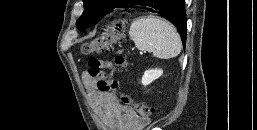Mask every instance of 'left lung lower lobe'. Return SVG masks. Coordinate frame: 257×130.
Here are the masks:
<instances>
[{
  "instance_id": "obj_1",
  "label": "left lung lower lobe",
  "mask_w": 257,
  "mask_h": 130,
  "mask_svg": "<svg viewBox=\"0 0 257 130\" xmlns=\"http://www.w3.org/2000/svg\"><path fill=\"white\" fill-rule=\"evenodd\" d=\"M126 4H135L147 7L150 12L157 13L173 23L182 38L183 46L186 43V14L184 0H130Z\"/></svg>"
}]
</instances>
